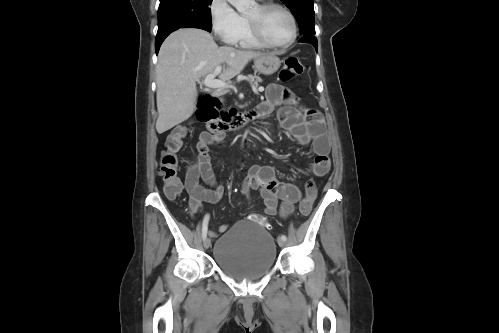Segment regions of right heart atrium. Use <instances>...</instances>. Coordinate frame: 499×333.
<instances>
[{
	"label": "right heart atrium",
	"mask_w": 499,
	"mask_h": 333,
	"mask_svg": "<svg viewBox=\"0 0 499 333\" xmlns=\"http://www.w3.org/2000/svg\"><path fill=\"white\" fill-rule=\"evenodd\" d=\"M209 18L212 32L222 42L234 44L244 24V18L227 0H211Z\"/></svg>",
	"instance_id": "right-heart-atrium-1"
}]
</instances>
